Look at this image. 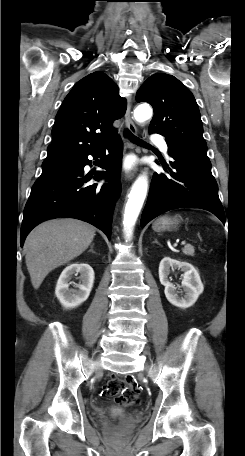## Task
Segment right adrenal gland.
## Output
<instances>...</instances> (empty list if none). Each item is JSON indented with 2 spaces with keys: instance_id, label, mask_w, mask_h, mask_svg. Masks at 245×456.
Listing matches in <instances>:
<instances>
[{
  "instance_id": "1",
  "label": "right adrenal gland",
  "mask_w": 245,
  "mask_h": 456,
  "mask_svg": "<svg viewBox=\"0 0 245 456\" xmlns=\"http://www.w3.org/2000/svg\"><path fill=\"white\" fill-rule=\"evenodd\" d=\"M89 251L95 253V251L93 250V245L91 246V249Z\"/></svg>"
}]
</instances>
